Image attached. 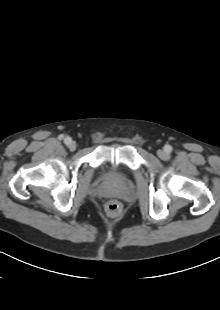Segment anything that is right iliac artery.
I'll list each match as a JSON object with an SVG mask.
<instances>
[{
	"label": "right iliac artery",
	"instance_id": "right-iliac-artery-1",
	"mask_svg": "<svg viewBox=\"0 0 220 310\" xmlns=\"http://www.w3.org/2000/svg\"><path fill=\"white\" fill-rule=\"evenodd\" d=\"M65 144H69L71 142V138L70 137H66L64 139Z\"/></svg>",
	"mask_w": 220,
	"mask_h": 310
}]
</instances>
